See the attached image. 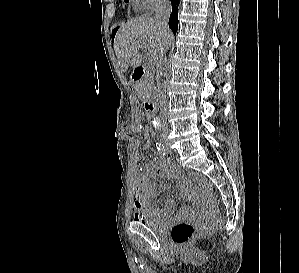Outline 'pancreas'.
<instances>
[{
    "instance_id": "1",
    "label": "pancreas",
    "mask_w": 299,
    "mask_h": 273,
    "mask_svg": "<svg viewBox=\"0 0 299 273\" xmlns=\"http://www.w3.org/2000/svg\"><path fill=\"white\" fill-rule=\"evenodd\" d=\"M136 90H137L138 94L146 95L147 92H148V87H147L146 81H144V80L140 81L138 83V86H137Z\"/></svg>"
}]
</instances>
